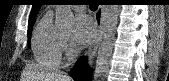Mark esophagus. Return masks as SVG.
Returning a JSON list of instances; mask_svg holds the SVG:
<instances>
[{
	"label": "esophagus",
	"mask_w": 169,
	"mask_h": 81,
	"mask_svg": "<svg viewBox=\"0 0 169 81\" xmlns=\"http://www.w3.org/2000/svg\"><path fill=\"white\" fill-rule=\"evenodd\" d=\"M94 18L96 23V33L92 42L90 43L88 50L85 53V56L88 58L90 65L93 64L94 58L96 56V51L102 35L103 7L101 5L98 6L94 14Z\"/></svg>",
	"instance_id": "obj_1"
}]
</instances>
